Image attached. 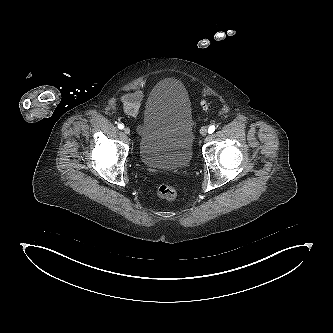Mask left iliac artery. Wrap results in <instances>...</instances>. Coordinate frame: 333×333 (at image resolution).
I'll list each match as a JSON object with an SVG mask.
<instances>
[{
  "mask_svg": "<svg viewBox=\"0 0 333 333\" xmlns=\"http://www.w3.org/2000/svg\"><path fill=\"white\" fill-rule=\"evenodd\" d=\"M215 125H211L209 128H208V133L211 134L215 131Z\"/></svg>",
  "mask_w": 333,
  "mask_h": 333,
  "instance_id": "left-iliac-artery-1",
  "label": "left iliac artery"
}]
</instances>
